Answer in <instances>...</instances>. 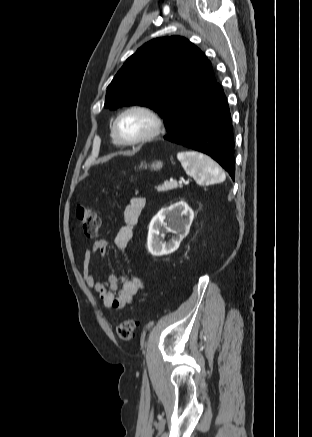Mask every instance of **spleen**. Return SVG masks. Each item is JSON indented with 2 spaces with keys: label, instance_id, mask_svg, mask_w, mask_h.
<instances>
[{
  "label": "spleen",
  "instance_id": "obj_1",
  "mask_svg": "<svg viewBox=\"0 0 312 437\" xmlns=\"http://www.w3.org/2000/svg\"><path fill=\"white\" fill-rule=\"evenodd\" d=\"M177 158L186 174L193 177L198 183H221L226 178L220 166L202 153L195 151L179 152Z\"/></svg>",
  "mask_w": 312,
  "mask_h": 437
}]
</instances>
